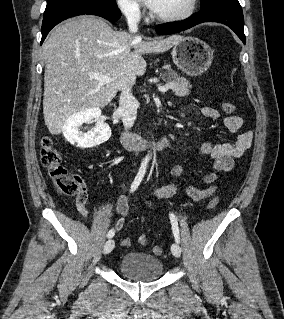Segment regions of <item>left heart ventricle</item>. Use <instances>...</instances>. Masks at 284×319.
Returning a JSON list of instances; mask_svg holds the SVG:
<instances>
[{
	"label": "left heart ventricle",
	"instance_id": "obj_1",
	"mask_svg": "<svg viewBox=\"0 0 284 319\" xmlns=\"http://www.w3.org/2000/svg\"><path fill=\"white\" fill-rule=\"evenodd\" d=\"M189 2L190 0H159L153 11L162 16L176 15L185 11Z\"/></svg>",
	"mask_w": 284,
	"mask_h": 319
}]
</instances>
